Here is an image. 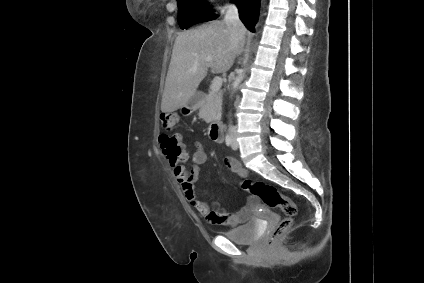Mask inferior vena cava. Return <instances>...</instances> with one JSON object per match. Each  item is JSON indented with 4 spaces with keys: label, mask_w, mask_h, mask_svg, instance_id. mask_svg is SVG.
Listing matches in <instances>:
<instances>
[{
    "label": "inferior vena cava",
    "mask_w": 424,
    "mask_h": 283,
    "mask_svg": "<svg viewBox=\"0 0 424 283\" xmlns=\"http://www.w3.org/2000/svg\"><path fill=\"white\" fill-rule=\"evenodd\" d=\"M224 22L230 31L232 45L236 48L244 37L245 27L239 18L238 9L234 4L227 5Z\"/></svg>",
    "instance_id": "inferior-vena-cava-1"
}]
</instances>
